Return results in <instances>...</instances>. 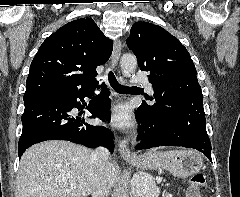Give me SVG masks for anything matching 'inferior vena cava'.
I'll return each mask as SVG.
<instances>
[{
  "label": "inferior vena cava",
  "mask_w": 240,
  "mask_h": 197,
  "mask_svg": "<svg viewBox=\"0 0 240 197\" xmlns=\"http://www.w3.org/2000/svg\"><path fill=\"white\" fill-rule=\"evenodd\" d=\"M110 152L104 147H99L92 152L91 158L97 168V175L95 177L92 197H108L110 188L106 180V169L108 166V159Z\"/></svg>",
  "instance_id": "1"
}]
</instances>
